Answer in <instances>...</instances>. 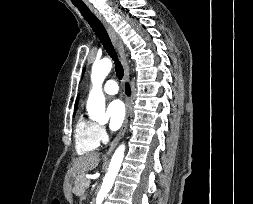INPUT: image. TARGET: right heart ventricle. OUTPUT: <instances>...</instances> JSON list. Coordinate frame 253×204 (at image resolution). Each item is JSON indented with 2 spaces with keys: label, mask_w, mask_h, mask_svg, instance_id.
<instances>
[{
  "label": "right heart ventricle",
  "mask_w": 253,
  "mask_h": 204,
  "mask_svg": "<svg viewBox=\"0 0 253 204\" xmlns=\"http://www.w3.org/2000/svg\"><path fill=\"white\" fill-rule=\"evenodd\" d=\"M95 123L80 116L75 124L74 141L75 149L79 155L95 151L99 146V140L95 132Z\"/></svg>",
  "instance_id": "1"
}]
</instances>
